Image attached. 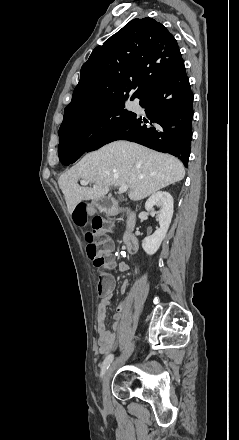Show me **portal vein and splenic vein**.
Masks as SVG:
<instances>
[{"instance_id": "18ae733b", "label": "portal vein and splenic vein", "mask_w": 239, "mask_h": 440, "mask_svg": "<svg viewBox=\"0 0 239 440\" xmlns=\"http://www.w3.org/2000/svg\"><path fill=\"white\" fill-rule=\"evenodd\" d=\"M81 186H88L89 182H86V180H81L80 182ZM129 186H120L119 192L120 194H123V192H127Z\"/></svg>"}]
</instances>
